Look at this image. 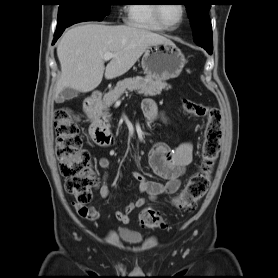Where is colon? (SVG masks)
I'll use <instances>...</instances> for the list:
<instances>
[{"mask_svg": "<svg viewBox=\"0 0 278 278\" xmlns=\"http://www.w3.org/2000/svg\"><path fill=\"white\" fill-rule=\"evenodd\" d=\"M183 107L192 116L205 118L206 126L202 144L201 165L189 179L183 191L174 199V205L192 211L207 192L222 140V114L216 107L184 100ZM79 116L70 108L61 107L54 115L56 155L65 189L74 196L75 203L85 205L92 197V188L97 184L90 153L82 147L79 134ZM139 221L146 228H164L166 222L153 209H144Z\"/></svg>", "mask_w": 278, "mask_h": 278, "instance_id": "1", "label": "colon"}]
</instances>
